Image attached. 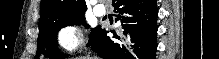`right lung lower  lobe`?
Wrapping results in <instances>:
<instances>
[{"label":"right lung lower lobe","mask_w":219,"mask_h":59,"mask_svg":"<svg viewBox=\"0 0 219 59\" xmlns=\"http://www.w3.org/2000/svg\"><path fill=\"white\" fill-rule=\"evenodd\" d=\"M114 11L119 13L120 30L109 32L99 29L89 46L105 59H155L157 49L156 0H113Z\"/></svg>","instance_id":"right-lung-lower-lobe-1"}]
</instances>
